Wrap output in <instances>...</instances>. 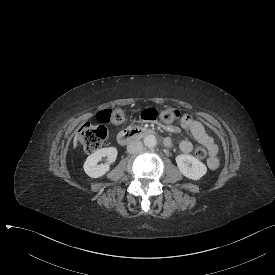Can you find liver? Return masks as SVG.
<instances>
[{
  "label": "liver",
  "instance_id": "liver-1",
  "mask_svg": "<svg viewBox=\"0 0 275 275\" xmlns=\"http://www.w3.org/2000/svg\"><path fill=\"white\" fill-rule=\"evenodd\" d=\"M78 135H75L74 140H73V146H74V150H76L77 145H78Z\"/></svg>",
  "mask_w": 275,
  "mask_h": 275
}]
</instances>
